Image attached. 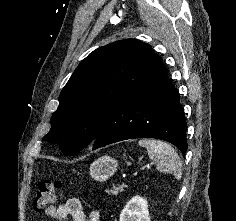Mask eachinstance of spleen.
<instances>
[{
  "instance_id": "1",
  "label": "spleen",
  "mask_w": 236,
  "mask_h": 221,
  "mask_svg": "<svg viewBox=\"0 0 236 221\" xmlns=\"http://www.w3.org/2000/svg\"><path fill=\"white\" fill-rule=\"evenodd\" d=\"M139 145L147 149L149 158L156 162L159 172L173 174L177 180L181 178L182 163L170 144L161 140L141 139Z\"/></svg>"
}]
</instances>
